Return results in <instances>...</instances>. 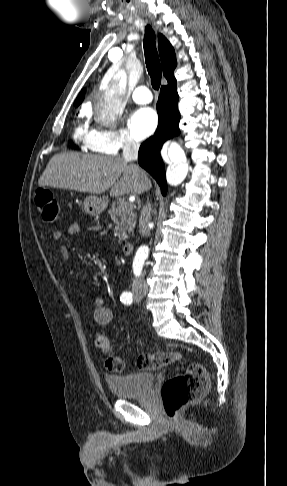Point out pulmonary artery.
I'll return each mask as SVG.
<instances>
[{
    "mask_svg": "<svg viewBox=\"0 0 287 486\" xmlns=\"http://www.w3.org/2000/svg\"><path fill=\"white\" fill-rule=\"evenodd\" d=\"M132 99L138 104H147L152 101V94L146 86H138L132 92Z\"/></svg>",
    "mask_w": 287,
    "mask_h": 486,
    "instance_id": "pulmonary-artery-1",
    "label": "pulmonary artery"
}]
</instances>
